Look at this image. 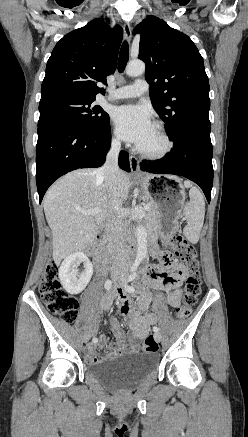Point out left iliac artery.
<instances>
[{
  "label": "left iliac artery",
  "mask_w": 248,
  "mask_h": 437,
  "mask_svg": "<svg viewBox=\"0 0 248 437\" xmlns=\"http://www.w3.org/2000/svg\"><path fill=\"white\" fill-rule=\"evenodd\" d=\"M136 277H137V273L135 272L128 277L127 282H132L133 280H135ZM124 288L129 293H131V292L133 293L135 291V288L131 285H128V284H125ZM153 331L158 332L159 328L157 326H154Z\"/></svg>",
  "instance_id": "left-iliac-artery-1"
}]
</instances>
